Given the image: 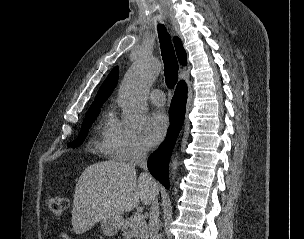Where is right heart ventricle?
Returning a JSON list of instances; mask_svg holds the SVG:
<instances>
[{
    "mask_svg": "<svg viewBox=\"0 0 304 239\" xmlns=\"http://www.w3.org/2000/svg\"><path fill=\"white\" fill-rule=\"evenodd\" d=\"M113 120L110 117L104 118L96 128V145L101 148L105 153L110 154L104 147V141L109 134L112 127Z\"/></svg>",
    "mask_w": 304,
    "mask_h": 239,
    "instance_id": "right-heart-ventricle-1",
    "label": "right heart ventricle"
}]
</instances>
